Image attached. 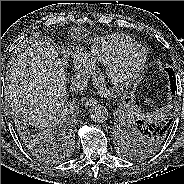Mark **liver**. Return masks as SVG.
I'll return each instance as SVG.
<instances>
[{
  "label": "liver",
  "mask_w": 184,
  "mask_h": 184,
  "mask_svg": "<svg viewBox=\"0 0 184 184\" xmlns=\"http://www.w3.org/2000/svg\"><path fill=\"white\" fill-rule=\"evenodd\" d=\"M66 77L55 47L46 39L27 40L8 63L5 97L33 124L46 126L64 106Z\"/></svg>",
  "instance_id": "1"
}]
</instances>
